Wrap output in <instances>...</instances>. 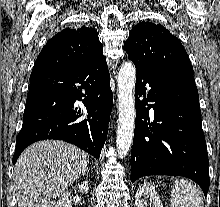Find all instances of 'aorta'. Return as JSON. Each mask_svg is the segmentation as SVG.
<instances>
[{
    "instance_id": "obj_1",
    "label": "aorta",
    "mask_w": 220,
    "mask_h": 207,
    "mask_svg": "<svg viewBox=\"0 0 220 207\" xmlns=\"http://www.w3.org/2000/svg\"><path fill=\"white\" fill-rule=\"evenodd\" d=\"M136 68L132 62H125L118 72V116L117 152L126 156L132 146L135 126L134 88Z\"/></svg>"
}]
</instances>
